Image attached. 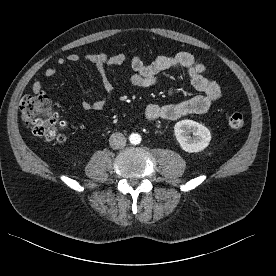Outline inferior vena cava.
<instances>
[{"label":"inferior vena cava","instance_id":"1","mask_svg":"<svg viewBox=\"0 0 276 276\" xmlns=\"http://www.w3.org/2000/svg\"><path fill=\"white\" fill-rule=\"evenodd\" d=\"M109 144L113 149H121L126 145V138L120 132L113 133L109 138Z\"/></svg>","mask_w":276,"mask_h":276}]
</instances>
